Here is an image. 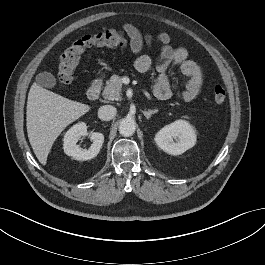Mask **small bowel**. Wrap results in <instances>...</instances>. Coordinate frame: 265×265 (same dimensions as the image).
Listing matches in <instances>:
<instances>
[{
	"instance_id": "1",
	"label": "small bowel",
	"mask_w": 265,
	"mask_h": 265,
	"mask_svg": "<svg viewBox=\"0 0 265 265\" xmlns=\"http://www.w3.org/2000/svg\"><path fill=\"white\" fill-rule=\"evenodd\" d=\"M123 29L130 39V49L136 56L134 61L136 70L141 73L147 72L152 65V58L149 53H141V51L144 45L151 48L152 35L147 33L143 36L139 29L131 23H126ZM156 41L160 46V55L156 65L158 76L154 87L155 96L165 100L172 95V86L166 70L174 64L178 65L182 74L188 78L185 87L180 91L181 98L184 101L194 100L200 94L204 85L205 71L203 67L188 59V52L185 48L172 47L167 33L158 34Z\"/></svg>"
}]
</instances>
